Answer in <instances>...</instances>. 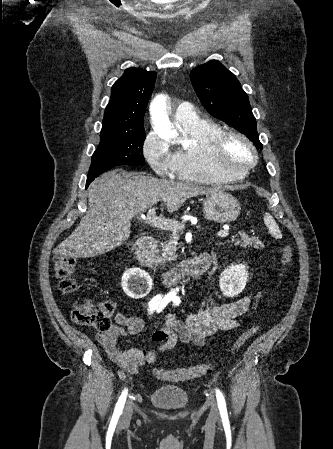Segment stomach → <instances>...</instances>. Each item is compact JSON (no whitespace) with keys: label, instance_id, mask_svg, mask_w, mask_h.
<instances>
[{"label":"stomach","instance_id":"obj_1","mask_svg":"<svg viewBox=\"0 0 333 449\" xmlns=\"http://www.w3.org/2000/svg\"><path fill=\"white\" fill-rule=\"evenodd\" d=\"M206 218L224 224L234 221L240 214V204L232 195L223 191L208 194L203 202Z\"/></svg>","mask_w":333,"mask_h":449}]
</instances>
